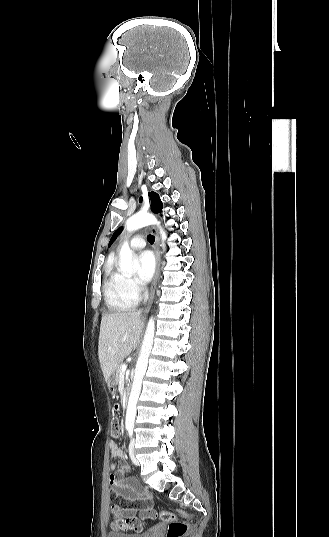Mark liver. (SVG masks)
I'll list each match as a JSON object with an SVG mask.
<instances>
[{
	"mask_svg": "<svg viewBox=\"0 0 329 537\" xmlns=\"http://www.w3.org/2000/svg\"><path fill=\"white\" fill-rule=\"evenodd\" d=\"M141 326L138 312L114 313L102 317L98 356L106 382L122 360L136 349Z\"/></svg>",
	"mask_w": 329,
	"mask_h": 537,
	"instance_id": "obj_1",
	"label": "liver"
}]
</instances>
